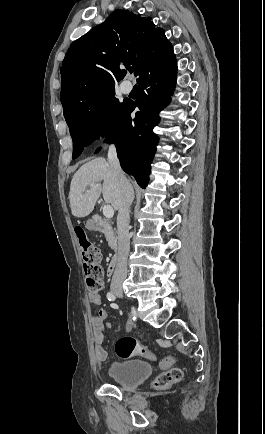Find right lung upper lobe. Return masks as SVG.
<instances>
[{
	"instance_id": "1",
	"label": "right lung upper lobe",
	"mask_w": 265,
	"mask_h": 434,
	"mask_svg": "<svg viewBox=\"0 0 265 434\" xmlns=\"http://www.w3.org/2000/svg\"><path fill=\"white\" fill-rule=\"evenodd\" d=\"M172 49L150 17L118 9L70 45L60 68L61 102L120 81L126 75L122 65H133L137 76Z\"/></svg>"
}]
</instances>
